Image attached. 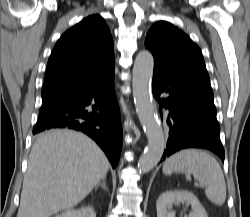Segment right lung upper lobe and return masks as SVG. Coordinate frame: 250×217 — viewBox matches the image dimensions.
Segmentation results:
<instances>
[{
	"mask_svg": "<svg viewBox=\"0 0 250 217\" xmlns=\"http://www.w3.org/2000/svg\"><path fill=\"white\" fill-rule=\"evenodd\" d=\"M114 69V46L108 26L92 15L67 30L47 63L42 100L91 84Z\"/></svg>",
	"mask_w": 250,
	"mask_h": 217,
	"instance_id": "cb5924a9",
	"label": "right lung upper lobe"
}]
</instances>
